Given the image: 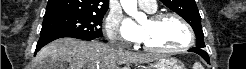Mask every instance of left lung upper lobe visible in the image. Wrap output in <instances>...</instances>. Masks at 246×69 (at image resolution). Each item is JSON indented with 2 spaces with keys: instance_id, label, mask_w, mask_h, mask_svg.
I'll list each match as a JSON object with an SVG mask.
<instances>
[{
  "instance_id": "left-lung-upper-lobe-1",
  "label": "left lung upper lobe",
  "mask_w": 246,
  "mask_h": 69,
  "mask_svg": "<svg viewBox=\"0 0 246 69\" xmlns=\"http://www.w3.org/2000/svg\"><path fill=\"white\" fill-rule=\"evenodd\" d=\"M165 6L185 19L193 28L196 35V48L205 47L201 17L195 0H160Z\"/></svg>"
}]
</instances>
